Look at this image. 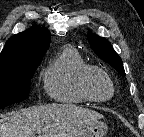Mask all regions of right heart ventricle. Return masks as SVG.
<instances>
[{
	"instance_id": "e07e8e85",
	"label": "right heart ventricle",
	"mask_w": 144,
	"mask_h": 137,
	"mask_svg": "<svg viewBox=\"0 0 144 137\" xmlns=\"http://www.w3.org/2000/svg\"><path fill=\"white\" fill-rule=\"evenodd\" d=\"M89 65L73 46H65L43 72V84L49 97L59 103L78 105L90 100L82 93L79 80Z\"/></svg>"
}]
</instances>
